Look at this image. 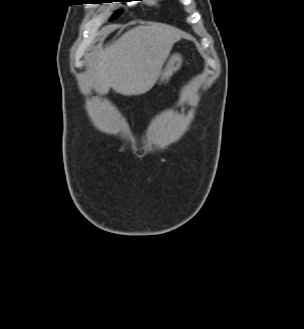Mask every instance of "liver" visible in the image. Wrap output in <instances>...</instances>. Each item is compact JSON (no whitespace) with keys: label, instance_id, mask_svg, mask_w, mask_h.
Instances as JSON below:
<instances>
[{"label":"liver","instance_id":"6515ba94","mask_svg":"<svg viewBox=\"0 0 304 329\" xmlns=\"http://www.w3.org/2000/svg\"><path fill=\"white\" fill-rule=\"evenodd\" d=\"M182 32L170 25L150 23L125 32L94 54L89 83L100 94L109 88L125 96L149 91L161 75L170 51Z\"/></svg>","mask_w":304,"mask_h":329}]
</instances>
